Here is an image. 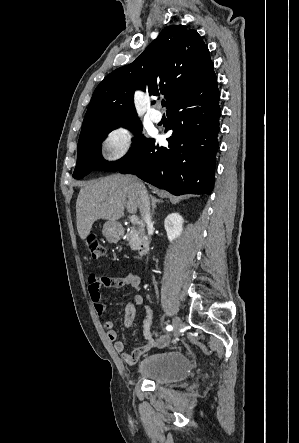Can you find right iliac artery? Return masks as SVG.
Listing matches in <instances>:
<instances>
[{"mask_svg":"<svg viewBox=\"0 0 299 443\" xmlns=\"http://www.w3.org/2000/svg\"><path fill=\"white\" fill-rule=\"evenodd\" d=\"M166 329H167L168 331H171V330H173V327H172V325H167Z\"/></svg>","mask_w":299,"mask_h":443,"instance_id":"obj_1","label":"right iliac artery"}]
</instances>
